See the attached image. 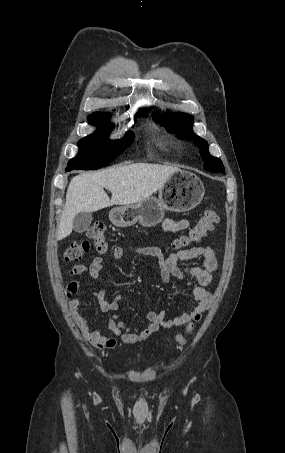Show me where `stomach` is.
Returning a JSON list of instances; mask_svg holds the SVG:
<instances>
[{
    "label": "stomach",
    "mask_w": 285,
    "mask_h": 453,
    "mask_svg": "<svg viewBox=\"0 0 285 453\" xmlns=\"http://www.w3.org/2000/svg\"><path fill=\"white\" fill-rule=\"evenodd\" d=\"M205 193L200 178L188 171L171 175L159 189L158 199L148 197L132 205L113 208L109 219L118 227H129L139 222L144 227L154 226L162 221L166 210L186 212L195 208Z\"/></svg>",
    "instance_id": "0dacf381"
}]
</instances>
